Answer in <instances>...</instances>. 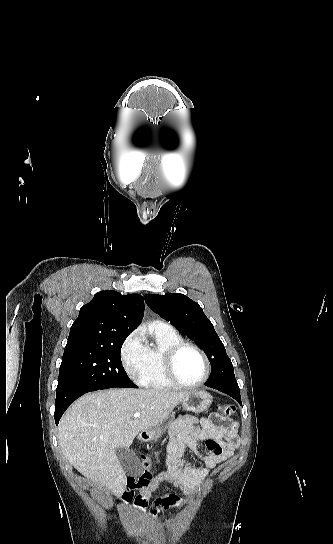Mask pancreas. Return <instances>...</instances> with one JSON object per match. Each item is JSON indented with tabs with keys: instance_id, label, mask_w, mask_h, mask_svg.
Segmentation results:
<instances>
[{
	"instance_id": "pancreas-1",
	"label": "pancreas",
	"mask_w": 333,
	"mask_h": 544,
	"mask_svg": "<svg viewBox=\"0 0 333 544\" xmlns=\"http://www.w3.org/2000/svg\"><path fill=\"white\" fill-rule=\"evenodd\" d=\"M159 437H160V436L157 435V436L152 437V439L155 440V441H157V439H158Z\"/></svg>"
}]
</instances>
